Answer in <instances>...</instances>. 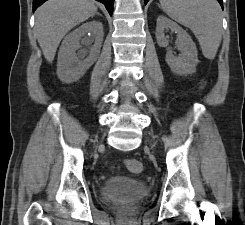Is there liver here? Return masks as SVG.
Returning <instances> with one entry per match:
<instances>
[{
    "mask_svg": "<svg viewBox=\"0 0 245 225\" xmlns=\"http://www.w3.org/2000/svg\"><path fill=\"white\" fill-rule=\"evenodd\" d=\"M97 13L92 0H48L35 13V30L45 59L51 63L63 37Z\"/></svg>",
    "mask_w": 245,
    "mask_h": 225,
    "instance_id": "6515ba94",
    "label": "liver"
}]
</instances>
